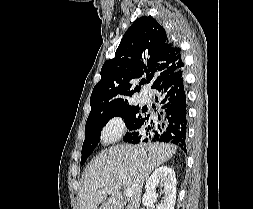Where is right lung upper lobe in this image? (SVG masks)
Here are the masks:
<instances>
[{"label": "right lung upper lobe", "mask_w": 253, "mask_h": 209, "mask_svg": "<svg viewBox=\"0 0 253 209\" xmlns=\"http://www.w3.org/2000/svg\"><path fill=\"white\" fill-rule=\"evenodd\" d=\"M181 49L171 43L165 29L151 16L133 22L125 32L115 58L101 69V80L95 85L88 117L131 107L132 95L139 91L132 81L145 76L152 89L183 69Z\"/></svg>", "instance_id": "obj_1"}]
</instances>
